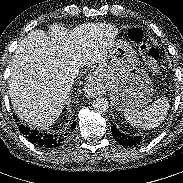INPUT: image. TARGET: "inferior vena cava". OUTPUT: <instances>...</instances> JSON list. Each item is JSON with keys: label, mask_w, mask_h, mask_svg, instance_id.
Here are the masks:
<instances>
[{"label": "inferior vena cava", "mask_w": 183, "mask_h": 183, "mask_svg": "<svg viewBox=\"0 0 183 183\" xmlns=\"http://www.w3.org/2000/svg\"><path fill=\"white\" fill-rule=\"evenodd\" d=\"M79 73V68L78 67H71L68 71V77L72 80H74Z\"/></svg>", "instance_id": "obj_1"}]
</instances>
